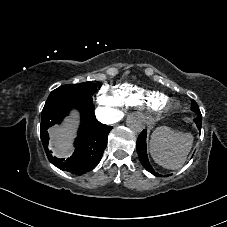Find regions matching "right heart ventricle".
I'll list each match as a JSON object with an SVG mask.
<instances>
[{
  "label": "right heart ventricle",
  "mask_w": 227,
  "mask_h": 227,
  "mask_svg": "<svg viewBox=\"0 0 227 227\" xmlns=\"http://www.w3.org/2000/svg\"><path fill=\"white\" fill-rule=\"evenodd\" d=\"M112 95L119 106L158 111L168 97L159 91L147 90L132 84H119L112 88Z\"/></svg>",
  "instance_id": "right-heart-ventricle-1"
}]
</instances>
